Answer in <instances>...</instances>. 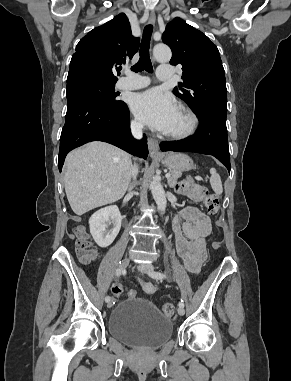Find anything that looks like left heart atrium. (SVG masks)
Instances as JSON below:
<instances>
[{"instance_id":"39dd6f15","label":"left heart atrium","mask_w":291,"mask_h":381,"mask_svg":"<svg viewBox=\"0 0 291 381\" xmlns=\"http://www.w3.org/2000/svg\"><path fill=\"white\" fill-rule=\"evenodd\" d=\"M131 109L150 128L167 132L179 107L172 96L154 88L135 94L131 100Z\"/></svg>"}]
</instances>
